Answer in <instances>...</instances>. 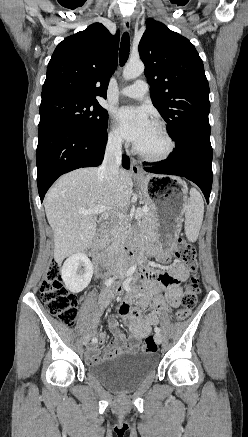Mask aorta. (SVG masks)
Here are the masks:
<instances>
[{
  "instance_id": "762f6f07",
  "label": "aorta",
  "mask_w": 248,
  "mask_h": 437,
  "mask_svg": "<svg viewBox=\"0 0 248 437\" xmlns=\"http://www.w3.org/2000/svg\"><path fill=\"white\" fill-rule=\"evenodd\" d=\"M144 72V64L141 61L129 62L123 70V78L132 80L140 76ZM141 245H143V236L141 235ZM140 255H143V248Z\"/></svg>"
}]
</instances>
